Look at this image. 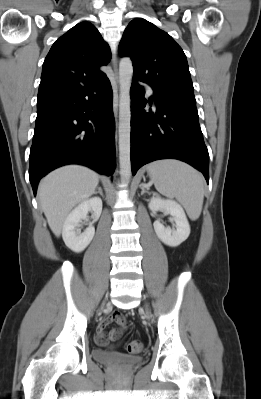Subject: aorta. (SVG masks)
<instances>
[{"mask_svg":"<svg viewBox=\"0 0 261 399\" xmlns=\"http://www.w3.org/2000/svg\"><path fill=\"white\" fill-rule=\"evenodd\" d=\"M133 65L129 57L119 63L120 101H119V163L120 174L124 183L131 177L130 133H131V98L130 88Z\"/></svg>","mask_w":261,"mask_h":399,"instance_id":"1","label":"aorta"}]
</instances>
